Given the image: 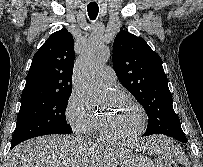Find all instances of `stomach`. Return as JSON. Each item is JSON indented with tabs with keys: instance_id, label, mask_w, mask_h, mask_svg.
I'll use <instances>...</instances> for the list:
<instances>
[{
	"instance_id": "obj_1",
	"label": "stomach",
	"mask_w": 203,
	"mask_h": 167,
	"mask_svg": "<svg viewBox=\"0 0 203 167\" xmlns=\"http://www.w3.org/2000/svg\"><path fill=\"white\" fill-rule=\"evenodd\" d=\"M146 152H150L149 149H145ZM119 167H155L153 162L142 155H130L126 160H124Z\"/></svg>"
}]
</instances>
